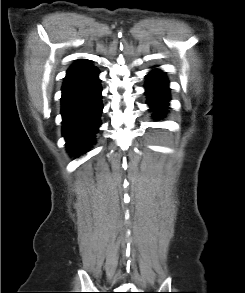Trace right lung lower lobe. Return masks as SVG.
<instances>
[{
  "mask_svg": "<svg viewBox=\"0 0 245 293\" xmlns=\"http://www.w3.org/2000/svg\"><path fill=\"white\" fill-rule=\"evenodd\" d=\"M98 70L93 67L62 86V132L68 152L73 156L85 154L95 143L101 124V85Z\"/></svg>",
  "mask_w": 245,
  "mask_h": 293,
  "instance_id": "98d812e1",
  "label": "right lung lower lobe"
}]
</instances>
